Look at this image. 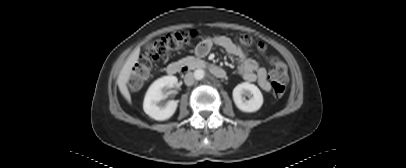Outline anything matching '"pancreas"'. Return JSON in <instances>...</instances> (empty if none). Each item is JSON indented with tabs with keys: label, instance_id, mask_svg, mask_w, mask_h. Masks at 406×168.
<instances>
[{
	"label": "pancreas",
	"instance_id": "1",
	"mask_svg": "<svg viewBox=\"0 0 406 168\" xmlns=\"http://www.w3.org/2000/svg\"><path fill=\"white\" fill-rule=\"evenodd\" d=\"M181 63H183V64H185V65H187V66H189L190 68L193 69V68H195V67H197V66L203 64L204 61H203V60H200V59H198V58H195V57H193V56H188V57H186V58H183V59L181 60Z\"/></svg>",
	"mask_w": 406,
	"mask_h": 168
}]
</instances>
